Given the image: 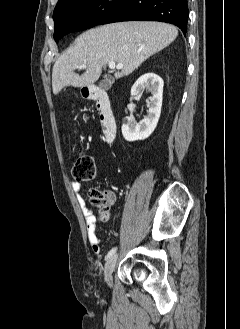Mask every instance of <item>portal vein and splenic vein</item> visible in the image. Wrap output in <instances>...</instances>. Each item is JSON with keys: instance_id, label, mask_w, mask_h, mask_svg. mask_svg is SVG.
<instances>
[{"instance_id": "portal-vein-and-splenic-vein-1", "label": "portal vein and splenic vein", "mask_w": 240, "mask_h": 329, "mask_svg": "<svg viewBox=\"0 0 240 329\" xmlns=\"http://www.w3.org/2000/svg\"><path fill=\"white\" fill-rule=\"evenodd\" d=\"M108 65H109V68H110V69H115V68H116V69H122V68H123V64H117V65H116L115 62H113V61H110V62L108 63ZM79 68H80V69H82V68H83V69L86 68V64H82V65H80Z\"/></svg>"}]
</instances>
